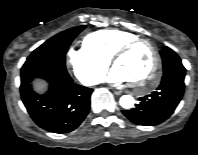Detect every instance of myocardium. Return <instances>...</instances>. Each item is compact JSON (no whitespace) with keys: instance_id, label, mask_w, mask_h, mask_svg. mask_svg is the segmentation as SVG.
<instances>
[{"instance_id":"f54148a6","label":"myocardium","mask_w":198,"mask_h":155,"mask_svg":"<svg viewBox=\"0 0 198 155\" xmlns=\"http://www.w3.org/2000/svg\"><path fill=\"white\" fill-rule=\"evenodd\" d=\"M139 43H145L151 48L154 59L152 69L148 76L141 82H133V86L137 87L142 92H148L157 85L161 69V56L156 44L153 41L140 37L133 38L122 44L113 53L111 59L112 63L115 64L117 59L127 54L132 48H134Z\"/></svg>"}]
</instances>
